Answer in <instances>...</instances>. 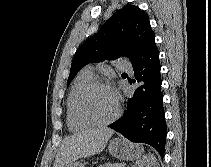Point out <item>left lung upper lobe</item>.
Returning a JSON list of instances; mask_svg holds the SVG:
<instances>
[{
    "mask_svg": "<svg viewBox=\"0 0 211 167\" xmlns=\"http://www.w3.org/2000/svg\"><path fill=\"white\" fill-rule=\"evenodd\" d=\"M156 48L148 15L138 6L126 5L78 48L72 60L67 85L88 63L126 55L135 67Z\"/></svg>",
    "mask_w": 211,
    "mask_h": 167,
    "instance_id": "1",
    "label": "left lung upper lobe"
}]
</instances>
